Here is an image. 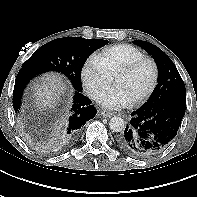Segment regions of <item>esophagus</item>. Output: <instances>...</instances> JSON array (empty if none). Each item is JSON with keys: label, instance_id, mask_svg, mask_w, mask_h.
Masks as SVG:
<instances>
[{"label": "esophagus", "instance_id": "obj_1", "mask_svg": "<svg viewBox=\"0 0 197 197\" xmlns=\"http://www.w3.org/2000/svg\"><path fill=\"white\" fill-rule=\"evenodd\" d=\"M99 114H100L102 117H104V118H109V117H111V116L113 115V113L110 112V111H108V110H101V111L99 112Z\"/></svg>", "mask_w": 197, "mask_h": 197}]
</instances>
